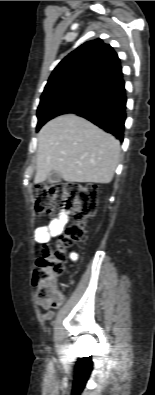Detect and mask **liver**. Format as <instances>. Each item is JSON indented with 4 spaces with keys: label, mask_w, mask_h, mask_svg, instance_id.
<instances>
[{
    "label": "liver",
    "mask_w": 155,
    "mask_h": 395,
    "mask_svg": "<svg viewBox=\"0 0 155 395\" xmlns=\"http://www.w3.org/2000/svg\"><path fill=\"white\" fill-rule=\"evenodd\" d=\"M37 140L35 183L55 171L67 182L108 184L119 163V141L74 114L47 122Z\"/></svg>",
    "instance_id": "1"
}]
</instances>
